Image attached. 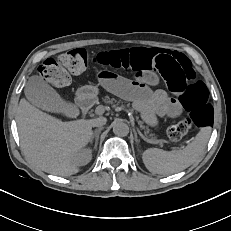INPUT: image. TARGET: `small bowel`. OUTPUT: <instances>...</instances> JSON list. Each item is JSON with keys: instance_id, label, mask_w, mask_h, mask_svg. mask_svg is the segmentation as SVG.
Returning <instances> with one entry per match:
<instances>
[{"instance_id": "1", "label": "small bowel", "mask_w": 231, "mask_h": 231, "mask_svg": "<svg viewBox=\"0 0 231 231\" xmlns=\"http://www.w3.org/2000/svg\"><path fill=\"white\" fill-rule=\"evenodd\" d=\"M100 85L108 92L131 100L134 106L146 115H164L176 117L181 114V106L174 98L168 97L165 91L152 92L147 84L156 79L129 80L108 70L98 72Z\"/></svg>"}]
</instances>
